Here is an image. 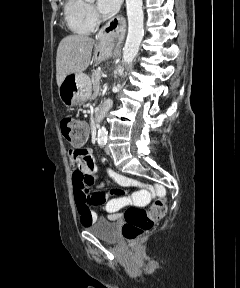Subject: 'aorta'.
Returning a JSON list of instances; mask_svg holds the SVG:
<instances>
[{
  "label": "aorta",
  "mask_w": 240,
  "mask_h": 288,
  "mask_svg": "<svg viewBox=\"0 0 240 288\" xmlns=\"http://www.w3.org/2000/svg\"><path fill=\"white\" fill-rule=\"evenodd\" d=\"M142 0H126L128 35L123 48V63L130 64L136 57L144 35ZM108 132L104 126L98 130V140L105 141Z\"/></svg>",
  "instance_id": "obj_1"
}]
</instances>
